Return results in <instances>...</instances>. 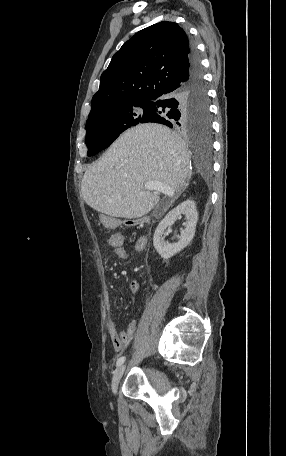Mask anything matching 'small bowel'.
<instances>
[{
    "mask_svg": "<svg viewBox=\"0 0 286 456\" xmlns=\"http://www.w3.org/2000/svg\"><path fill=\"white\" fill-rule=\"evenodd\" d=\"M111 236L117 238L116 243H112L109 238V245L112 248V252L115 258L123 260L127 257V251L124 248L123 236L120 233H114ZM110 236V237H111ZM147 246V238L144 236L139 237L134 243V251L137 253L142 252ZM131 290L133 293H138L140 291V284L138 280L134 279L131 282ZM109 310V309H108ZM107 329L113 344L114 349L117 352H120L124 349L125 345L130 341L137 329V320H132L128 325L126 331H119L117 329L116 323L110 314L108 313L107 320Z\"/></svg>",
    "mask_w": 286,
    "mask_h": 456,
    "instance_id": "obj_1",
    "label": "small bowel"
}]
</instances>
